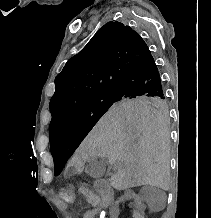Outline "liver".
I'll return each mask as SVG.
<instances>
[{
	"label": "liver",
	"instance_id": "obj_1",
	"mask_svg": "<svg viewBox=\"0 0 211 218\" xmlns=\"http://www.w3.org/2000/svg\"><path fill=\"white\" fill-rule=\"evenodd\" d=\"M121 164L111 180L115 190L157 186L169 190V132L158 110L113 104L83 140L71 162L82 170L88 158Z\"/></svg>",
	"mask_w": 211,
	"mask_h": 218
}]
</instances>
